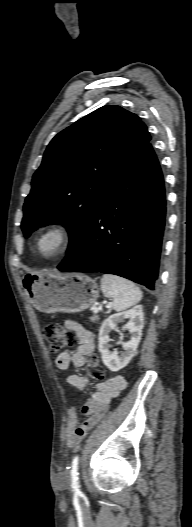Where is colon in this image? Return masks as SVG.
<instances>
[{"instance_id":"1","label":"colon","mask_w":192,"mask_h":527,"mask_svg":"<svg viewBox=\"0 0 192 527\" xmlns=\"http://www.w3.org/2000/svg\"><path fill=\"white\" fill-rule=\"evenodd\" d=\"M43 334L52 352H57L65 347L72 346L77 341V335L74 331L65 329L56 323L46 324L43 329ZM86 370L88 375L97 381H103L105 379V372L95 354L89 355Z\"/></svg>"}]
</instances>
